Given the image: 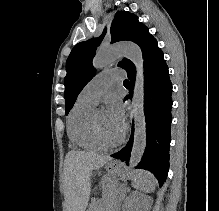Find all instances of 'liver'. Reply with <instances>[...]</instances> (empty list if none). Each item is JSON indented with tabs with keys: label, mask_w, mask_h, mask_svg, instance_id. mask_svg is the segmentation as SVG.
<instances>
[{
	"label": "liver",
	"mask_w": 219,
	"mask_h": 211,
	"mask_svg": "<svg viewBox=\"0 0 219 211\" xmlns=\"http://www.w3.org/2000/svg\"><path fill=\"white\" fill-rule=\"evenodd\" d=\"M110 159V155H98L90 151H68L64 161L67 211H85L91 191L92 171Z\"/></svg>",
	"instance_id": "1"
}]
</instances>
